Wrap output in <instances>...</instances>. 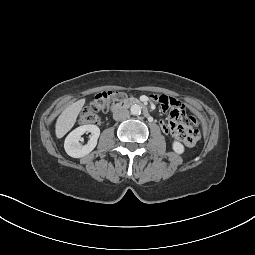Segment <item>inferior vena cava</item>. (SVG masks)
Segmentation results:
<instances>
[{"instance_id":"1","label":"inferior vena cava","mask_w":255,"mask_h":255,"mask_svg":"<svg viewBox=\"0 0 255 255\" xmlns=\"http://www.w3.org/2000/svg\"><path fill=\"white\" fill-rule=\"evenodd\" d=\"M129 116V111L126 108L120 107L113 111V118L116 121L124 120Z\"/></svg>"}]
</instances>
